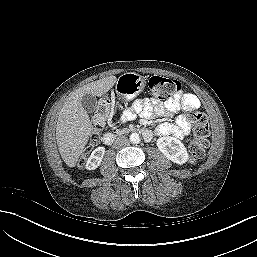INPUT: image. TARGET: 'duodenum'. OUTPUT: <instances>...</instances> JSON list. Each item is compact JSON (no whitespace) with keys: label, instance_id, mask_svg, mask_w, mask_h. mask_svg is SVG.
I'll return each instance as SVG.
<instances>
[{"label":"duodenum","instance_id":"1","mask_svg":"<svg viewBox=\"0 0 257 257\" xmlns=\"http://www.w3.org/2000/svg\"><path fill=\"white\" fill-rule=\"evenodd\" d=\"M142 134L146 139H149L151 136L150 131L146 129L142 131ZM113 142H114V135L111 132H106L103 134L102 143L104 145H111Z\"/></svg>","mask_w":257,"mask_h":257}]
</instances>
